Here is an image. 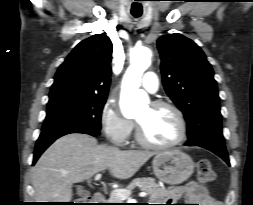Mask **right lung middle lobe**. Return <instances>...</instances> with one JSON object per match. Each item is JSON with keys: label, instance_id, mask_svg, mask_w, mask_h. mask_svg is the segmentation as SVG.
Here are the masks:
<instances>
[{"label": "right lung middle lobe", "instance_id": "dd1d6c3e", "mask_svg": "<svg viewBox=\"0 0 253 205\" xmlns=\"http://www.w3.org/2000/svg\"><path fill=\"white\" fill-rule=\"evenodd\" d=\"M106 97L67 96L49 100L42 132L63 128H81L99 132Z\"/></svg>", "mask_w": 253, "mask_h": 205}]
</instances>
